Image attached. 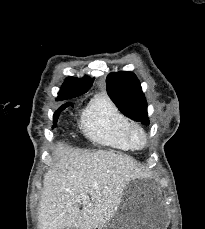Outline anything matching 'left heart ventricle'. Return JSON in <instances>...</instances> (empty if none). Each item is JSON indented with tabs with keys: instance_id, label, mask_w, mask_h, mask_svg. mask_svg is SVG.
I'll list each match as a JSON object with an SVG mask.
<instances>
[{
	"instance_id": "1",
	"label": "left heart ventricle",
	"mask_w": 205,
	"mask_h": 229,
	"mask_svg": "<svg viewBox=\"0 0 205 229\" xmlns=\"http://www.w3.org/2000/svg\"><path fill=\"white\" fill-rule=\"evenodd\" d=\"M137 140H140V138H139V137H137Z\"/></svg>"
}]
</instances>
